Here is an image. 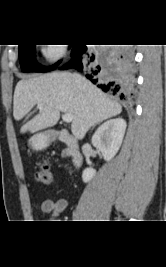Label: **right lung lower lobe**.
<instances>
[{
    "label": "right lung lower lobe",
    "mask_w": 166,
    "mask_h": 267,
    "mask_svg": "<svg viewBox=\"0 0 166 267\" xmlns=\"http://www.w3.org/2000/svg\"><path fill=\"white\" fill-rule=\"evenodd\" d=\"M72 61L61 69L74 67L104 92L129 98L134 85L132 52L128 47H112L102 53L89 52L87 45H73Z\"/></svg>",
    "instance_id": "right-lung-lower-lobe-1"
}]
</instances>
